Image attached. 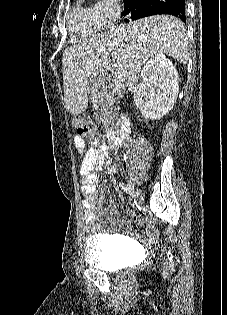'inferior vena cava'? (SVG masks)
Returning <instances> with one entry per match:
<instances>
[{
	"label": "inferior vena cava",
	"mask_w": 227,
	"mask_h": 315,
	"mask_svg": "<svg viewBox=\"0 0 227 315\" xmlns=\"http://www.w3.org/2000/svg\"><path fill=\"white\" fill-rule=\"evenodd\" d=\"M120 16V11L119 10H116L113 12V21H116V19H118ZM114 26H111L110 30H114Z\"/></svg>",
	"instance_id": "602c4592"
}]
</instances>
